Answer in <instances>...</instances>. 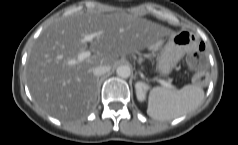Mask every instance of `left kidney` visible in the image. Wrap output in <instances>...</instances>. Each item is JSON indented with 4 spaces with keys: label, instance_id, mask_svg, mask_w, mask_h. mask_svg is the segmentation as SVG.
Returning <instances> with one entry per match:
<instances>
[{
    "label": "left kidney",
    "instance_id": "5707ae66",
    "mask_svg": "<svg viewBox=\"0 0 238 145\" xmlns=\"http://www.w3.org/2000/svg\"><path fill=\"white\" fill-rule=\"evenodd\" d=\"M149 89V86L144 82H137L135 84L136 96L140 102L145 101L146 92Z\"/></svg>",
    "mask_w": 238,
    "mask_h": 145
}]
</instances>
